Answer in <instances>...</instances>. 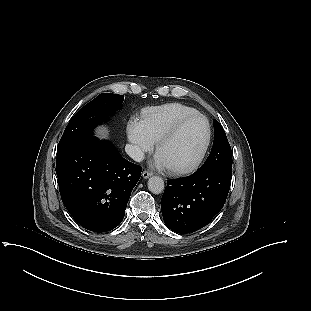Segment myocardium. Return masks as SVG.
<instances>
[{
  "mask_svg": "<svg viewBox=\"0 0 311 311\" xmlns=\"http://www.w3.org/2000/svg\"><path fill=\"white\" fill-rule=\"evenodd\" d=\"M201 118L206 126V138H205V142L203 144V147L201 148L199 154L197 155V157L190 163L183 165V166H174V167H166L167 170L172 173V174H186L189 173L193 170H195L203 161V159L206 156V153L209 149L210 143H211V137H212V131H211V125L210 122L208 120V118L199 113H192L189 115H186L184 117H181L180 119H178L173 126L167 130L164 134H162L160 136V138L157 140L156 143V153L158 154L161 146L163 144H165L166 142H168L169 140H171L181 129V127L188 122L189 120L193 119V118Z\"/></svg>",
  "mask_w": 311,
  "mask_h": 311,
  "instance_id": "1",
  "label": "myocardium"
}]
</instances>
